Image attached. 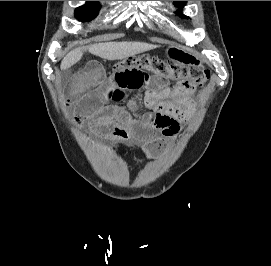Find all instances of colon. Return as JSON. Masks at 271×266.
<instances>
[{"label":"colon","mask_w":271,"mask_h":266,"mask_svg":"<svg viewBox=\"0 0 271 266\" xmlns=\"http://www.w3.org/2000/svg\"><path fill=\"white\" fill-rule=\"evenodd\" d=\"M131 67L146 69L156 75L177 81L185 91H194L203 86L210 77L209 71L198 67H185L158 57L141 55L130 57L116 63L114 69L122 70Z\"/></svg>","instance_id":"colon-1"}]
</instances>
